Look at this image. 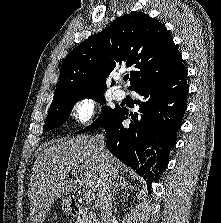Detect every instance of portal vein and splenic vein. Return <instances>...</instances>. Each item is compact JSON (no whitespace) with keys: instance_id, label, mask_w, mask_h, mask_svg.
Listing matches in <instances>:
<instances>
[{"instance_id":"obj_1","label":"portal vein and splenic vein","mask_w":221,"mask_h":223,"mask_svg":"<svg viewBox=\"0 0 221 223\" xmlns=\"http://www.w3.org/2000/svg\"><path fill=\"white\" fill-rule=\"evenodd\" d=\"M94 198H95L94 192L91 189H87L85 191V199L87 201H92V200H94Z\"/></svg>"}]
</instances>
